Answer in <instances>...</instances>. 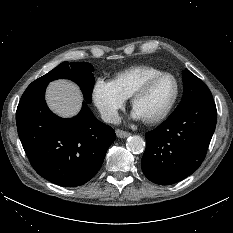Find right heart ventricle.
<instances>
[{"label": "right heart ventricle", "mask_w": 233, "mask_h": 233, "mask_svg": "<svg viewBox=\"0 0 233 233\" xmlns=\"http://www.w3.org/2000/svg\"><path fill=\"white\" fill-rule=\"evenodd\" d=\"M161 72L162 70L154 66L137 65L118 72L111 82L116 90L127 99L148 77Z\"/></svg>", "instance_id": "e07e8e85"}]
</instances>
